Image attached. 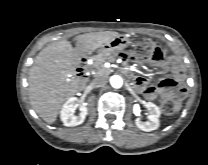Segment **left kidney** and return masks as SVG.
<instances>
[{
	"mask_svg": "<svg viewBox=\"0 0 208 165\" xmlns=\"http://www.w3.org/2000/svg\"><path fill=\"white\" fill-rule=\"evenodd\" d=\"M145 107L148 110V121H142L140 118H137L135 124L139 129L146 132L156 130L160 125V110L152 102L145 103Z\"/></svg>",
	"mask_w": 208,
	"mask_h": 165,
	"instance_id": "left-kidney-1",
	"label": "left kidney"
}]
</instances>
